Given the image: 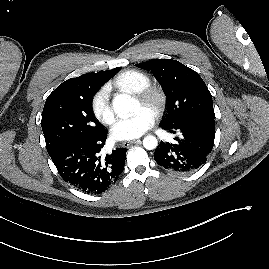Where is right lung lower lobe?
I'll list each match as a JSON object with an SVG mask.
<instances>
[{
	"mask_svg": "<svg viewBox=\"0 0 269 269\" xmlns=\"http://www.w3.org/2000/svg\"><path fill=\"white\" fill-rule=\"evenodd\" d=\"M107 130L85 139H76L49 154L60 176L76 189L88 194H101L113 186L123 172L125 148L101 153Z\"/></svg>",
	"mask_w": 269,
	"mask_h": 269,
	"instance_id": "right-lung-lower-lobe-1",
	"label": "right lung lower lobe"
}]
</instances>
